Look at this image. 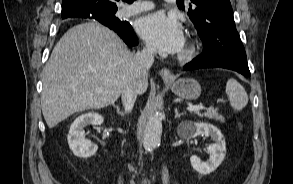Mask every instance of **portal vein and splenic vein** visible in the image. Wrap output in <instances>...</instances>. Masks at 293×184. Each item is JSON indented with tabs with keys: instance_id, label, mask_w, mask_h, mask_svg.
I'll return each mask as SVG.
<instances>
[{
	"instance_id": "portal-vein-and-splenic-vein-1",
	"label": "portal vein and splenic vein",
	"mask_w": 293,
	"mask_h": 184,
	"mask_svg": "<svg viewBox=\"0 0 293 184\" xmlns=\"http://www.w3.org/2000/svg\"><path fill=\"white\" fill-rule=\"evenodd\" d=\"M102 90L101 89H96L95 92H101ZM204 109V106L203 105H195V106H189L187 108L188 111H199V110H202Z\"/></svg>"
}]
</instances>
